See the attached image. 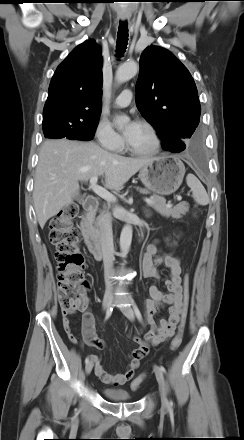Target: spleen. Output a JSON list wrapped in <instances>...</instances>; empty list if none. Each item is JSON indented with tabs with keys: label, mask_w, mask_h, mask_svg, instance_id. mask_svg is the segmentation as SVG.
Masks as SVG:
<instances>
[{
	"label": "spleen",
	"mask_w": 244,
	"mask_h": 440,
	"mask_svg": "<svg viewBox=\"0 0 244 440\" xmlns=\"http://www.w3.org/2000/svg\"><path fill=\"white\" fill-rule=\"evenodd\" d=\"M186 182L188 187H190L193 199L197 204L203 206L209 204L208 194L195 175L189 173L186 177Z\"/></svg>",
	"instance_id": "1"
}]
</instances>
